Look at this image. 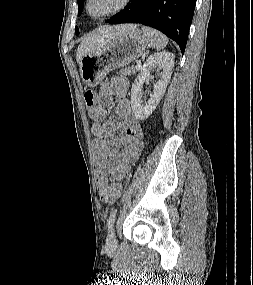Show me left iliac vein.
<instances>
[{
  "instance_id": "obj_1",
  "label": "left iliac vein",
  "mask_w": 253,
  "mask_h": 285,
  "mask_svg": "<svg viewBox=\"0 0 253 285\" xmlns=\"http://www.w3.org/2000/svg\"><path fill=\"white\" fill-rule=\"evenodd\" d=\"M106 245L109 249H113L117 245L116 235L113 228H111L108 232L107 239H106Z\"/></svg>"
}]
</instances>
